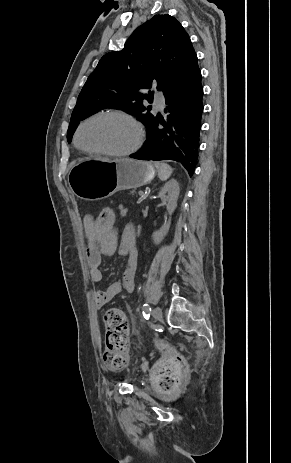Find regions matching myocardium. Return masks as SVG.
Masks as SVG:
<instances>
[{"instance_id":"f54148a6","label":"myocardium","mask_w":291,"mask_h":463,"mask_svg":"<svg viewBox=\"0 0 291 463\" xmlns=\"http://www.w3.org/2000/svg\"><path fill=\"white\" fill-rule=\"evenodd\" d=\"M103 117H120V118L127 120L129 123H131V125L133 126L135 130L136 136H135V140L133 144L129 148L123 149V150L91 149V148L83 147L80 144L79 136H80V132L82 128L90 121L98 119V118H103ZM143 139H144V130H143L141 123L131 113L124 111V110H118V109L97 112V113H94L88 116L87 118H85L79 123V125L76 128L75 134H74V144L82 152L86 154L104 155V156H109V157H124V156H129L135 153L142 145Z\"/></svg>"}]
</instances>
